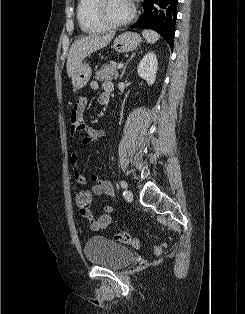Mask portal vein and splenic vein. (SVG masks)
<instances>
[{"mask_svg":"<svg viewBox=\"0 0 245 314\" xmlns=\"http://www.w3.org/2000/svg\"><path fill=\"white\" fill-rule=\"evenodd\" d=\"M122 67H123V63H120L117 68L121 69Z\"/></svg>","mask_w":245,"mask_h":314,"instance_id":"portal-vein-and-splenic-vein-1","label":"portal vein and splenic vein"}]
</instances>
